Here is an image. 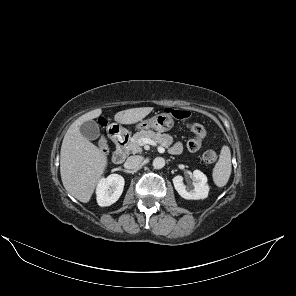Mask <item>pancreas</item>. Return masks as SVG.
Listing matches in <instances>:
<instances>
[{"mask_svg":"<svg viewBox=\"0 0 296 296\" xmlns=\"http://www.w3.org/2000/svg\"><path fill=\"white\" fill-rule=\"evenodd\" d=\"M142 138H149L153 140L155 143L165 148H169L170 145L173 143V137L169 134H161L159 132L156 133L151 130H142L133 135V137L130 139V142L127 145V149L131 151V153L133 154L141 153L142 147L139 141Z\"/></svg>","mask_w":296,"mask_h":296,"instance_id":"pancreas-1","label":"pancreas"}]
</instances>
